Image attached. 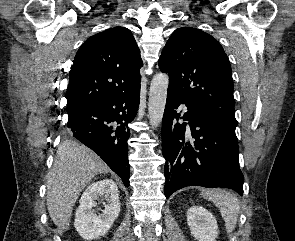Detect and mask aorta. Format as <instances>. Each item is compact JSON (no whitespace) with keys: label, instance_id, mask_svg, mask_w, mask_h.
Returning <instances> with one entry per match:
<instances>
[{"label":"aorta","instance_id":"obj_1","mask_svg":"<svg viewBox=\"0 0 295 241\" xmlns=\"http://www.w3.org/2000/svg\"><path fill=\"white\" fill-rule=\"evenodd\" d=\"M169 77L165 73L156 74L150 85L148 116L152 128H157L163 119L167 99Z\"/></svg>","mask_w":295,"mask_h":241}]
</instances>
